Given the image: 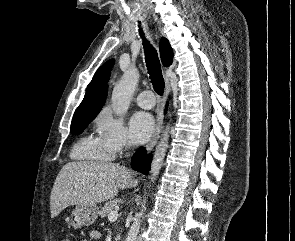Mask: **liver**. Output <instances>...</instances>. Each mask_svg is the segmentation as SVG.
Returning a JSON list of instances; mask_svg holds the SVG:
<instances>
[{"label": "liver", "instance_id": "6515ba94", "mask_svg": "<svg viewBox=\"0 0 295 241\" xmlns=\"http://www.w3.org/2000/svg\"><path fill=\"white\" fill-rule=\"evenodd\" d=\"M125 166L111 162H69L60 170L50 196L51 217L69 205H94L113 199L118 190L137 186Z\"/></svg>", "mask_w": 295, "mask_h": 241}]
</instances>
